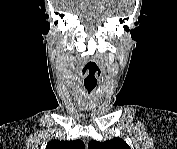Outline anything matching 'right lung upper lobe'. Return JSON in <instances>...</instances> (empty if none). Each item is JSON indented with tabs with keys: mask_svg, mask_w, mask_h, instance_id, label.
Listing matches in <instances>:
<instances>
[{
	"mask_svg": "<svg viewBox=\"0 0 177 149\" xmlns=\"http://www.w3.org/2000/svg\"><path fill=\"white\" fill-rule=\"evenodd\" d=\"M46 149H84V143L81 140L74 141L52 140L47 144Z\"/></svg>",
	"mask_w": 177,
	"mask_h": 149,
	"instance_id": "obj_1",
	"label": "right lung upper lobe"
}]
</instances>
